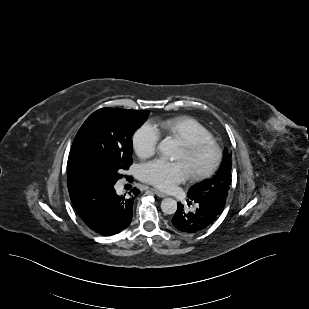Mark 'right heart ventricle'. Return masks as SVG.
Returning <instances> with one entry per match:
<instances>
[{"instance_id": "obj_1", "label": "right heart ventricle", "mask_w": 309, "mask_h": 309, "mask_svg": "<svg viewBox=\"0 0 309 309\" xmlns=\"http://www.w3.org/2000/svg\"><path fill=\"white\" fill-rule=\"evenodd\" d=\"M162 131L177 137L183 143L198 140H212L211 132L198 120L188 116H178L158 123Z\"/></svg>"}]
</instances>
